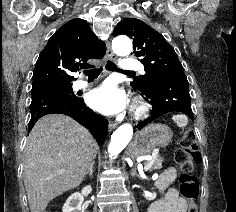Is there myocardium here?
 Segmentation results:
<instances>
[{
    "label": "myocardium",
    "mask_w": 236,
    "mask_h": 212,
    "mask_svg": "<svg viewBox=\"0 0 236 212\" xmlns=\"http://www.w3.org/2000/svg\"><path fill=\"white\" fill-rule=\"evenodd\" d=\"M149 111V106L145 102L137 101L133 107L134 117L137 120L143 119Z\"/></svg>",
    "instance_id": "1"
}]
</instances>
